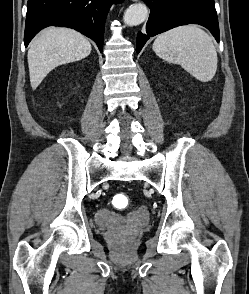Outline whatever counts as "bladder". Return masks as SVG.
I'll list each match as a JSON object with an SVG mask.
<instances>
[{"mask_svg": "<svg viewBox=\"0 0 249 294\" xmlns=\"http://www.w3.org/2000/svg\"><path fill=\"white\" fill-rule=\"evenodd\" d=\"M96 220L100 224H112L116 221V218L109 215V213H105L104 211L96 213Z\"/></svg>", "mask_w": 249, "mask_h": 294, "instance_id": "31cf9c89", "label": "bladder"}]
</instances>
